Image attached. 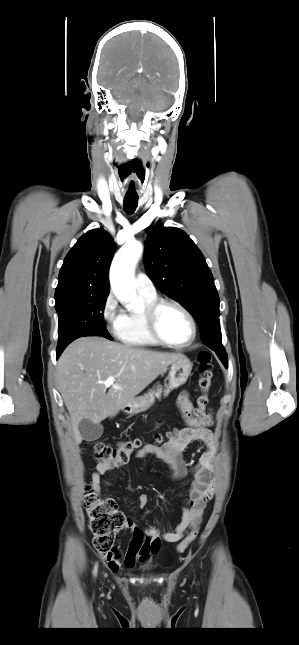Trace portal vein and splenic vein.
Returning <instances> with one entry per match:
<instances>
[{
    "label": "portal vein and splenic vein",
    "mask_w": 299,
    "mask_h": 645,
    "mask_svg": "<svg viewBox=\"0 0 299 645\" xmlns=\"http://www.w3.org/2000/svg\"><path fill=\"white\" fill-rule=\"evenodd\" d=\"M114 381H115V378H114L113 376H110L109 378H107V379L103 382V384H104L106 387L113 386V387H115V388H117V389H118L119 387H118V386H116V385H114Z\"/></svg>",
    "instance_id": "obj_1"
}]
</instances>
